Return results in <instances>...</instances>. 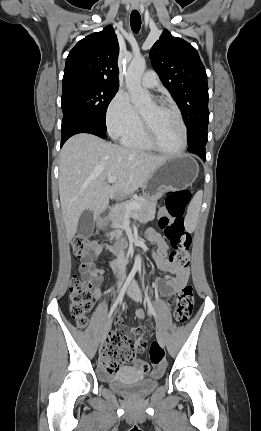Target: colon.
I'll return each instance as SVG.
<instances>
[{"label": "colon", "mask_w": 261, "mask_h": 431, "mask_svg": "<svg viewBox=\"0 0 261 431\" xmlns=\"http://www.w3.org/2000/svg\"><path fill=\"white\" fill-rule=\"evenodd\" d=\"M191 199L190 191L186 189L171 191L166 195V207L169 215L160 220V227L163 229L166 238L169 240L173 251L168 255V259L181 267H187L190 261L189 248L192 243L191 234L185 230L184 218L186 207ZM73 254L84 262L81 265V274L90 264V258L98 246L97 242L85 237H76L72 241ZM162 253V251H160ZM93 285L89 279L74 275L70 283L69 311L78 326L85 327L87 324V314L91 308ZM169 302L175 306V319L186 322L192 313L194 304V291L191 284L184 285L176 297H170ZM150 359L154 363L150 366L148 360L141 363L135 360L132 366L138 373H146V382H155L162 379L163 366L166 361V352L157 343L150 346ZM102 362L104 369L113 374L117 372L122 364L129 363L133 358V345L131 341L118 332H111L103 347Z\"/></svg>", "instance_id": "1"}]
</instances>
